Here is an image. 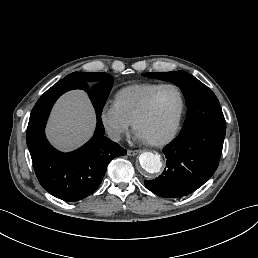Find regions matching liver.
Returning <instances> with one entry per match:
<instances>
[{"instance_id":"1","label":"liver","mask_w":258,"mask_h":258,"mask_svg":"<svg viewBox=\"0 0 258 258\" xmlns=\"http://www.w3.org/2000/svg\"><path fill=\"white\" fill-rule=\"evenodd\" d=\"M95 124V112L87 94L72 90L62 95L53 107L46 134L56 148L70 151L93 135Z\"/></svg>"}]
</instances>
